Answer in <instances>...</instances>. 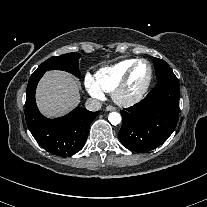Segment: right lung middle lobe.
<instances>
[{"mask_svg": "<svg viewBox=\"0 0 207 207\" xmlns=\"http://www.w3.org/2000/svg\"><path fill=\"white\" fill-rule=\"evenodd\" d=\"M78 53H68L60 56L51 57L43 62L33 74L45 73L47 70H64L80 77Z\"/></svg>", "mask_w": 207, "mask_h": 207, "instance_id": "dd1d6c3e", "label": "right lung middle lobe"}]
</instances>
